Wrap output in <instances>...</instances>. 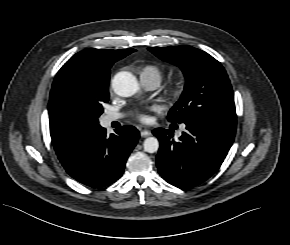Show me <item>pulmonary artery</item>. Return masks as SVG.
Masks as SVG:
<instances>
[{"mask_svg": "<svg viewBox=\"0 0 290 245\" xmlns=\"http://www.w3.org/2000/svg\"><path fill=\"white\" fill-rule=\"evenodd\" d=\"M141 83L144 87L147 89H155L160 84V78L156 75L146 76V77H140ZM123 118V114L121 113H108L104 116L103 120L105 124H110L113 121H117L119 119Z\"/></svg>", "mask_w": 290, "mask_h": 245, "instance_id": "pulmonary-artery-1", "label": "pulmonary artery"}]
</instances>
